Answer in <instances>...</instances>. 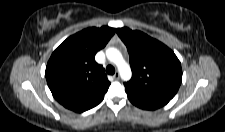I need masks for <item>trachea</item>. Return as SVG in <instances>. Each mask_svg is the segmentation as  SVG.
Returning a JSON list of instances; mask_svg holds the SVG:
<instances>
[{"label": "trachea", "mask_w": 225, "mask_h": 132, "mask_svg": "<svg viewBox=\"0 0 225 132\" xmlns=\"http://www.w3.org/2000/svg\"><path fill=\"white\" fill-rule=\"evenodd\" d=\"M106 72H107V74H109V75H113V74L115 73V68H114L112 65H108V66L106 67Z\"/></svg>", "instance_id": "3493384b"}]
</instances>
